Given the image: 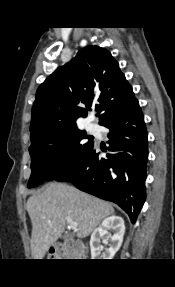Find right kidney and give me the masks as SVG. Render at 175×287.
I'll return each instance as SVG.
<instances>
[{
    "instance_id": "1",
    "label": "right kidney",
    "mask_w": 175,
    "mask_h": 287,
    "mask_svg": "<svg viewBox=\"0 0 175 287\" xmlns=\"http://www.w3.org/2000/svg\"><path fill=\"white\" fill-rule=\"evenodd\" d=\"M112 231L113 234L110 233ZM125 233L124 220L119 216H110L104 219L101 225L94 230L90 239L92 259H112L122 245ZM107 236L109 247L102 252L101 238Z\"/></svg>"
}]
</instances>
